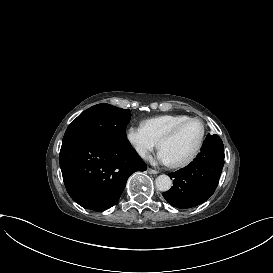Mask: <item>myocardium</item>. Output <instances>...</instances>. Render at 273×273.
<instances>
[{
  "label": "myocardium",
  "mask_w": 273,
  "mask_h": 273,
  "mask_svg": "<svg viewBox=\"0 0 273 273\" xmlns=\"http://www.w3.org/2000/svg\"><path fill=\"white\" fill-rule=\"evenodd\" d=\"M193 121H198L201 125H202V133H201V137L199 139V142L195 148V150L193 151V153L185 160L180 161V162H176V163H171V166L174 168H182V167H186L188 165H190L191 163H193L195 161V159L198 157V155L200 154L205 138H206V134H207V125L205 123L204 120H202L199 117H189L188 119L176 124L174 127H172L167 133H165L162 138L159 141V146L160 148H162L163 144L174 138L176 136V134L187 124H189L190 122Z\"/></svg>",
  "instance_id": "f54148a6"
}]
</instances>
